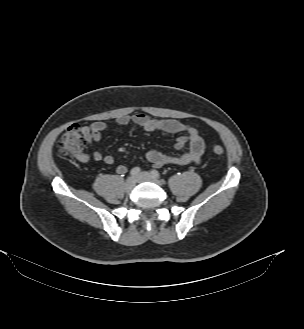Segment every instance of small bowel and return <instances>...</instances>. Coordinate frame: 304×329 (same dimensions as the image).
Returning <instances> with one entry per match:
<instances>
[{
	"mask_svg": "<svg viewBox=\"0 0 304 329\" xmlns=\"http://www.w3.org/2000/svg\"><path fill=\"white\" fill-rule=\"evenodd\" d=\"M117 126H126L134 123L148 132H164L169 134L185 133L177 137L175 141V148L182 150L188 146L187 150L179 154H165L157 150H149L146 153V158L155 167L163 165L185 166L191 163H199L204 152L205 143L200 136L198 130L191 125L183 124L173 119H158L151 117L144 113H137L134 115H123L114 121ZM109 128V124L104 121H97L90 125L83 126L82 132L90 145H96L100 142L102 133ZM80 162H88L90 159L103 162L111 165L115 159L111 155H104L98 150H93L91 154L82 153L77 157ZM117 173L124 174L126 172L125 166H118Z\"/></svg>",
	"mask_w": 304,
	"mask_h": 329,
	"instance_id": "1",
	"label": "small bowel"
}]
</instances>
